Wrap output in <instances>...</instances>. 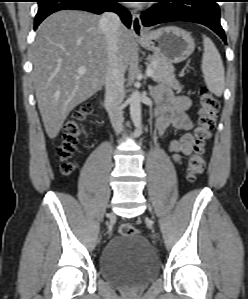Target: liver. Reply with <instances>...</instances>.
I'll use <instances>...</instances> for the list:
<instances>
[{
    "label": "liver",
    "instance_id": "1",
    "mask_svg": "<svg viewBox=\"0 0 248 299\" xmlns=\"http://www.w3.org/2000/svg\"><path fill=\"white\" fill-rule=\"evenodd\" d=\"M101 17L62 10L39 26L32 46L33 82L46 133L54 139L69 113L105 84L108 53ZM118 58L123 73L134 52L132 33L118 30ZM85 72L80 73V68Z\"/></svg>",
    "mask_w": 248,
    "mask_h": 299
}]
</instances>
